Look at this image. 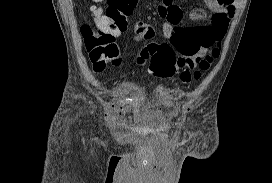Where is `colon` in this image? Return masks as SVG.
<instances>
[{"mask_svg":"<svg viewBox=\"0 0 272 183\" xmlns=\"http://www.w3.org/2000/svg\"><path fill=\"white\" fill-rule=\"evenodd\" d=\"M99 1L85 0L87 22L81 26L84 45L96 72L104 70L109 63L119 64V49L115 36L126 30L128 18L138 3V0H108L106 9L101 10L98 6ZM218 55L219 50L214 48L209 54L197 59L195 71L183 69L182 81L199 79L201 73L209 69ZM140 61L147 62L149 70L161 78L172 77L178 70L176 50L168 43L147 44L141 52Z\"/></svg>","mask_w":272,"mask_h":183,"instance_id":"1","label":"colon"}]
</instances>
